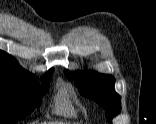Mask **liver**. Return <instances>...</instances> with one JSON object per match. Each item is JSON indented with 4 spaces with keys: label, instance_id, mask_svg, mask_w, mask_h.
Returning <instances> with one entry per match:
<instances>
[{
    "label": "liver",
    "instance_id": "obj_1",
    "mask_svg": "<svg viewBox=\"0 0 156 124\" xmlns=\"http://www.w3.org/2000/svg\"><path fill=\"white\" fill-rule=\"evenodd\" d=\"M46 124V123H45ZM47 124H65V123H63V122H50V123H47Z\"/></svg>",
    "mask_w": 156,
    "mask_h": 124
}]
</instances>
